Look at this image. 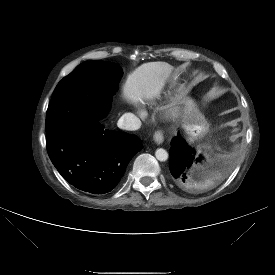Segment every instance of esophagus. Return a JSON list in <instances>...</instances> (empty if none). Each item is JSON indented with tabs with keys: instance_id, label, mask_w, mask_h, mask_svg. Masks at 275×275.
I'll return each mask as SVG.
<instances>
[{
	"instance_id": "1",
	"label": "esophagus",
	"mask_w": 275,
	"mask_h": 275,
	"mask_svg": "<svg viewBox=\"0 0 275 275\" xmlns=\"http://www.w3.org/2000/svg\"><path fill=\"white\" fill-rule=\"evenodd\" d=\"M153 139L157 144H162L164 141V135L161 130H158L154 133Z\"/></svg>"
}]
</instances>
